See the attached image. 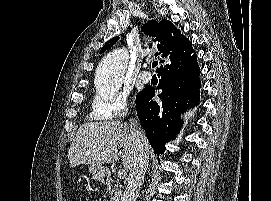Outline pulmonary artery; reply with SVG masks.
<instances>
[{
  "mask_svg": "<svg viewBox=\"0 0 271 201\" xmlns=\"http://www.w3.org/2000/svg\"><path fill=\"white\" fill-rule=\"evenodd\" d=\"M147 67V65H145ZM139 80L143 83H148L151 81V74L148 71H143L138 76Z\"/></svg>",
  "mask_w": 271,
  "mask_h": 201,
  "instance_id": "pulmonary-artery-1",
  "label": "pulmonary artery"
}]
</instances>
